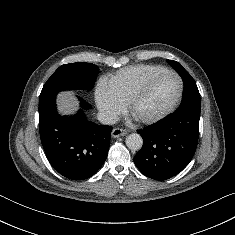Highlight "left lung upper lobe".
<instances>
[{
    "instance_id": "left-lung-upper-lobe-1",
    "label": "left lung upper lobe",
    "mask_w": 235,
    "mask_h": 235,
    "mask_svg": "<svg viewBox=\"0 0 235 235\" xmlns=\"http://www.w3.org/2000/svg\"><path fill=\"white\" fill-rule=\"evenodd\" d=\"M167 62L176 70V72L181 76L183 80L184 91L179 109L188 107L200 109V94L194 79L178 62L173 60H167Z\"/></svg>"
}]
</instances>
